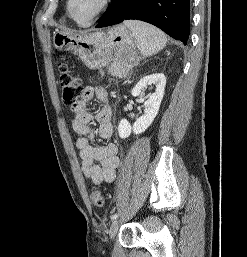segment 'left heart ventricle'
Here are the masks:
<instances>
[{
  "label": "left heart ventricle",
  "mask_w": 247,
  "mask_h": 257,
  "mask_svg": "<svg viewBox=\"0 0 247 257\" xmlns=\"http://www.w3.org/2000/svg\"><path fill=\"white\" fill-rule=\"evenodd\" d=\"M101 0H72L73 15L81 22L89 20L100 6Z\"/></svg>",
  "instance_id": "obj_1"
}]
</instances>
